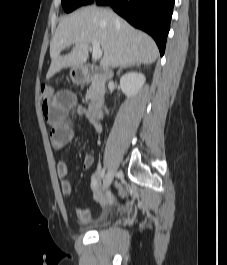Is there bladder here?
<instances>
[{"mask_svg":"<svg viewBox=\"0 0 227 265\" xmlns=\"http://www.w3.org/2000/svg\"><path fill=\"white\" fill-rule=\"evenodd\" d=\"M111 222V220L109 219L108 216L104 217L102 219V221L95 225V226H91V227H81L80 230L81 231H87V230H94V229H100V228H103V227H106L107 225H109Z\"/></svg>","mask_w":227,"mask_h":265,"instance_id":"31cf9c89","label":"bladder"}]
</instances>
